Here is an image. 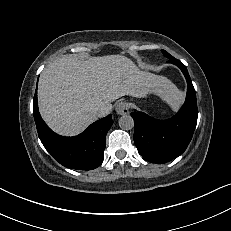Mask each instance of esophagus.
Returning <instances> with one entry per match:
<instances>
[{
  "mask_svg": "<svg viewBox=\"0 0 231 231\" xmlns=\"http://www.w3.org/2000/svg\"><path fill=\"white\" fill-rule=\"evenodd\" d=\"M116 112L119 115H126L129 113V104L125 101H121L116 105Z\"/></svg>",
  "mask_w": 231,
  "mask_h": 231,
  "instance_id": "1",
  "label": "esophagus"
}]
</instances>
